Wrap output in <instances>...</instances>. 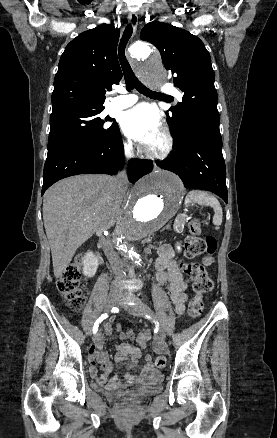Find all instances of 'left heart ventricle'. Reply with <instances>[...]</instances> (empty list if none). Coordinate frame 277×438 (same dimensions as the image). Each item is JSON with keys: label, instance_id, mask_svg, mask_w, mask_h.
Listing matches in <instances>:
<instances>
[{"label": "left heart ventricle", "instance_id": "1", "mask_svg": "<svg viewBox=\"0 0 277 438\" xmlns=\"http://www.w3.org/2000/svg\"><path fill=\"white\" fill-rule=\"evenodd\" d=\"M163 147V138L159 136L156 140L152 142V144L149 147L150 152H158Z\"/></svg>", "mask_w": 277, "mask_h": 438}]
</instances>
